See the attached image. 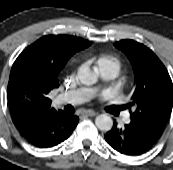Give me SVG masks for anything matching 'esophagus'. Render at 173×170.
<instances>
[{
  "instance_id": "34e87169",
  "label": "esophagus",
  "mask_w": 173,
  "mask_h": 170,
  "mask_svg": "<svg viewBox=\"0 0 173 170\" xmlns=\"http://www.w3.org/2000/svg\"><path fill=\"white\" fill-rule=\"evenodd\" d=\"M83 114L86 115V116L92 117V116H96L97 112H95L93 110H86V111L83 112Z\"/></svg>"
}]
</instances>
